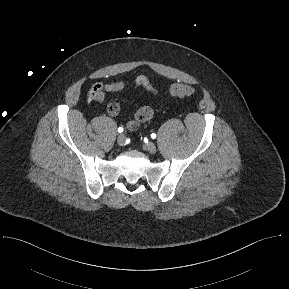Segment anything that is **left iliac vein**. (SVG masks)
<instances>
[{
	"label": "left iliac vein",
	"instance_id": "left-iliac-vein-1",
	"mask_svg": "<svg viewBox=\"0 0 289 289\" xmlns=\"http://www.w3.org/2000/svg\"><path fill=\"white\" fill-rule=\"evenodd\" d=\"M145 148L151 154H154L156 152V145L153 142L147 143L145 145Z\"/></svg>",
	"mask_w": 289,
	"mask_h": 289
}]
</instances>
